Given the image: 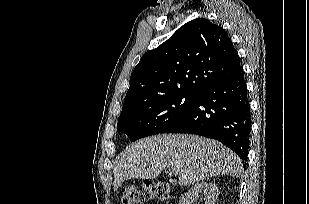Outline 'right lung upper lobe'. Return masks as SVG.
<instances>
[{"instance_id": "obj_1", "label": "right lung upper lobe", "mask_w": 309, "mask_h": 204, "mask_svg": "<svg viewBox=\"0 0 309 204\" xmlns=\"http://www.w3.org/2000/svg\"><path fill=\"white\" fill-rule=\"evenodd\" d=\"M240 68L238 53L222 27L204 18L191 20L141 58L124 104L177 92L199 95Z\"/></svg>"}]
</instances>
